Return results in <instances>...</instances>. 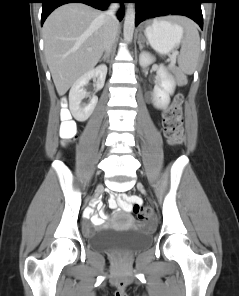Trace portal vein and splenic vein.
Returning a JSON list of instances; mask_svg holds the SVG:
<instances>
[{
    "instance_id": "18ae733b",
    "label": "portal vein and splenic vein",
    "mask_w": 239,
    "mask_h": 296,
    "mask_svg": "<svg viewBox=\"0 0 239 296\" xmlns=\"http://www.w3.org/2000/svg\"><path fill=\"white\" fill-rule=\"evenodd\" d=\"M173 64H174V61L172 60V61H171V65H173Z\"/></svg>"
}]
</instances>
